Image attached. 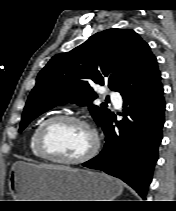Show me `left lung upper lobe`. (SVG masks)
<instances>
[{"instance_id": "left-lung-upper-lobe-1", "label": "left lung upper lobe", "mask_w": 176, "mask_h": 211, "mask_svg": "<svg viewBox=\"0 0 176 211\" xmlns=\"http://www.w3.org/2000/svg\"><path fill=\"white\" fill-rule=\"evenodd\" d=\"M161 75L148 44L133 30L109 29L96 33L67 53L54 56L40 71L23 111L19 131L59 103L88 105L103 128L112 119L104 106L91 102L97 95L91 85L107 83L122 96Z\"/></svg>"}]
</instances>
